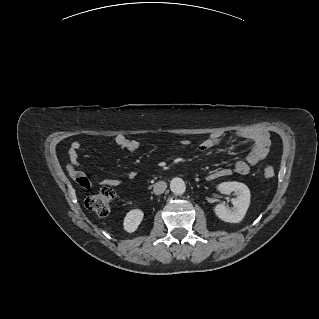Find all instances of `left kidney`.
Segmentation results:
<instances>
[{
	"instance_id": "obj_1",
	"label": "left kidney",
	"mask_w": 319,
	"mask_h": 319,
	"mask_svg": "<svg viewBox=\"0 0 319 319\" xmlns=\"http://www.w3.org/2000/svg\"><path fill=\"white\" fill-rule=\"evenodd\" d=\"M217 189L223 194L235 193L236 198L232 199L233 207L229 208L225 204H217L214 207L216 216L229 223H239L244 218L250 205V190L240 182H223L218 185Z\"/></svg>"
}]
</instances>
